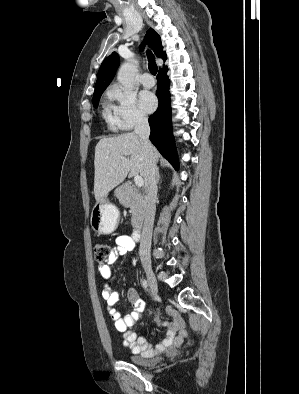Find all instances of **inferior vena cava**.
Masks as SVG:
<instances>
[{
  "label": "inferior vena cava",
  "instance_id": "1",
  "mask_svg": "<svg viewBox=\"0 0 299 394\" xmlns=\"http://www.w3.org/2000/svg\"><path fill=\"white\" fill-rule=\"evenodd\" d=\"M134 133L139 137L145 156V216L139 247L140 259L143 264H150L152 229L155 217V201L157 196L156 160L153 146L149 141L150 127L148 119L141 114L136 116Z\"/></svg>",
  "mask_w": 299,
  "mask_h": 394
}]
</instances>
